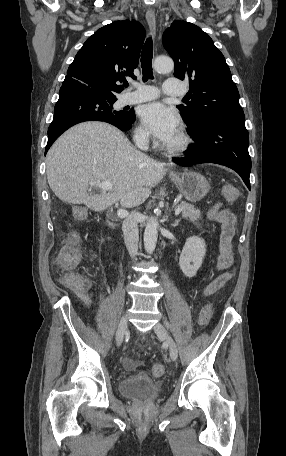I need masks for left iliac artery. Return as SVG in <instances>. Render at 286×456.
I'll use <instances>...</instances> for the list:
<instances>
[{
    "instance_id": "left-iliac-artery-1",
    "label": "left iliac artery",
    "mask_w": 286,
    "mask_h": 456,
    "mask_svg": "<svg viewBox=\"0 0 286 456\" xmlns=\"http://www.w3.org/2000/svg\"><path fill=\"white\" fill-rule=\"evenodd\" d=\"M165 324H166L167 328H169V324H168V322H165Z\"/></svg>"
}]
</instances>
